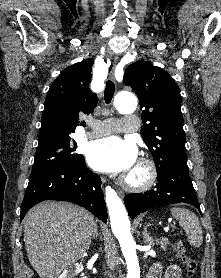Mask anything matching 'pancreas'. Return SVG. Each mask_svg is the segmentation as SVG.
<instances>
[{
  "instance_id": "1",
  "label": "pancreas",
  "mask_w": 221,
  "mask_h": 278,
  "mask_svg": "<svg viewBox=\"0 0 221 278\" xmlns=\"http://www.w3.org/2000/svg\"><path fill=\"white\" fill-rule=\"evenodd\" d=\"M156 244L159 245L162 249L166 250L170 242L167 238L161 237L156 239Z\"/></svg>"
}]
</instances>
